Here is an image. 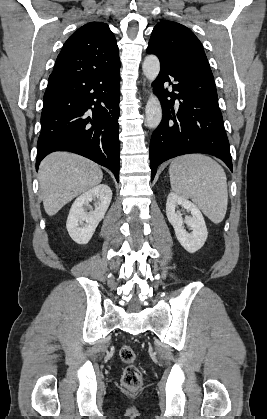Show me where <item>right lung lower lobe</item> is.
<instances>
[{
    "label": "right lung lower lobe",
    "mask_w": 267,
    "mask_h": 419,
    "mask_svg": "<svg viewBox=\"0 0 267 419\" xmlns=\"http://www.w3.org/2000/svg\"><path fill=\"white\" fill-rule=\"evenodd\" d=\"M120 63L49 77L41 114L36 169L54 151H70L110 169L119 179Z\"/></svg>",
    "instance_id": "98d812e1"
}]
</instances>
